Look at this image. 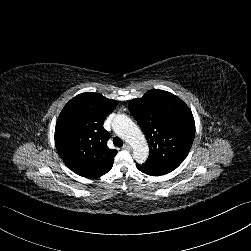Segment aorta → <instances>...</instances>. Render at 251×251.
<instances>
[{
  "mask_svg": "<svg viewBox=\"0 0 251 251\" xmlns=\"http://www.w3.org/2000/svg\"><path fill=\"white\" fill-rule=\"evenodd\" d=\"M113 131L133 147V158L137 163H144L149 155V148L140 128L126 115L117 114L112 122Z\"/></svg>",
  "mask_w": 251,
  "mask_h": 251,
  "instance_id": "1",
  "label": "aorta"
}]
</instances>
